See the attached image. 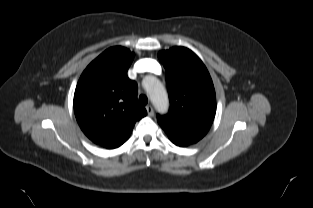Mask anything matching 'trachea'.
<instances>
[{
    "label": "trachea",
    "instance_id": "1",
    "mask_svg": "<svg viewBox=\"0 0 313 208\" xmlns=\"http://www.w3.org/2000/svg\"><path fill=\"white\" fill-rule=\"evenodd\" d=\"M139 102L141 105L145 106L148 103V98L145 95H140Z\"/></svg>",
    "mask_w": 313,
    "mask_h": 208
}]
</instances>
